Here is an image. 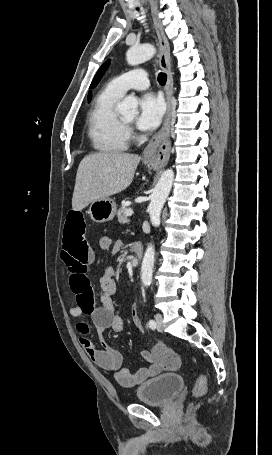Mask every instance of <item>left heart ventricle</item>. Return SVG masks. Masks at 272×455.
I'll return each instance as SVG.
<instances>
[{"label":"left heart ventricle","mask_w":272,"mask_h":455,"mask_svg":"<svg viewBox=\"0 0 272 455\" xmlns=\"http://www.w3.org/2000/svg\"><path fill=\"white\" fill-rule=\"evenodd\" d=\"M123 119H124L126 122H128V123H132V122L134 121L135 117L132 116V115H131V116H124Z\"/></svg>","instance_id":"b2bd125f"}]
</instances>
